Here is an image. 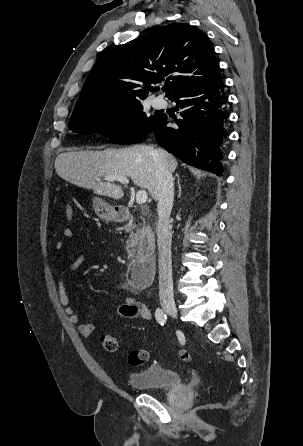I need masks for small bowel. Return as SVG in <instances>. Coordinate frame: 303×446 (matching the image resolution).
Wrapping results in <instances>:
<instances>
[{"label": "small bowel", "mask_w": 303, "mask_h": 446, "mask_svg": "<svg viewBox=\"0 0 303 446\" xmlns=\"http://www.w3.org/2000/svg\"><path fill=\"white\" fill-rule=\"evenodd\" d=\"M75 231L71 228H66L63 231V237L66 241H71L75 238ZM65 247V243L62 240H59L55 244V248L57 250H62ZM87 261L86 255H80L78 258H76L74 261L68 262L65 264V268L60 273V278L58 281V295H59V302L61 306L64 309V312L67 316L68 321L71 324L77 325V330L82 338L84 339H90L96 329V325L94 323H80L79 317L72 308L70 304V298L66 291L65 286V275L66 271H75L80 269ZM132 295L128 296L123 303H121L116 311L115 315L119 318H127V319H134V318H142L145 320H151L152 319V312L151 310L145 306L140 301V290L130 287Z\"/></svg>", "instance_id": "obj_1"}]
</instances>
